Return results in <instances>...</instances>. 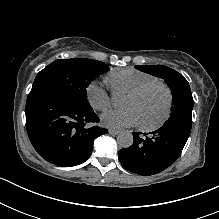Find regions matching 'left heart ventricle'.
Returning a JSON list of instances; mask_svg holds the SVG:
<instances>
[{"label":"left heart ventricle","mask_w":219,"mask_h":219,"mask_svg":"<svg viewBox=\"0 0 219 219\" xmlns=\"http://www.w3.org/2000/svg\"><path fill=\"white\" fill-rule=\"evenodd\" d=\"M167 93L162 87H154L136 97L126 96L123 107L136 111L139 123L157 124L164 116L167 107Z\"/></svg>","instance_id":"1"}]
</instances>
